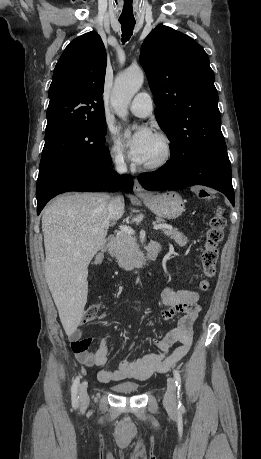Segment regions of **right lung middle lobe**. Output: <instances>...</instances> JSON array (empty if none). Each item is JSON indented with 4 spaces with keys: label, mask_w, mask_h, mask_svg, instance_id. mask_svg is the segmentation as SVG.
<instances>
[{
    "label": "right lung middle lobe",
    "mask_w": 261,
    "mask_h": 459,
    "mask_svg": "<svg viewBox=\"0 0 261 459\" xmlns=\"http://www.w3.org/2000/svg\"><path fill=\"white\" fill-rule=\"evenodd\" d=\"M105 119L46 131L36 189L52 177L81 166H109Z\"/></svg>",
    "instance_id": "right-lung-middle-lobe-1"
}]
</instances>
